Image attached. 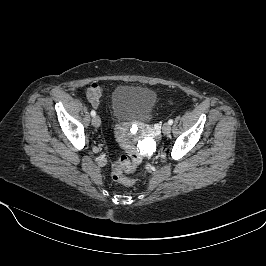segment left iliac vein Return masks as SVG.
I'll return each instance as SVG.
<instances>
[{"instance_id":"1","label":"left iliac vein","mask_w":266,"mask_h":266,"mask_svg":"<svg viewBox=\"0 0 266 266\" xmlns=\"http://www.w3.org/2000/svg\"><path fill=\"white\" fill-rule=\"evenodd\" d=\"M162 132L165 135H168L171 132V125L169 123H164L162 127Z\"/></svg>"}]
</instances>
